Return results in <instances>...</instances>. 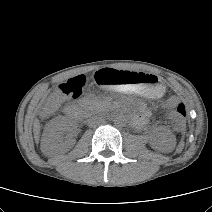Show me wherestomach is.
Instances as JSON below:
<instances>
[{
    "mask_svg": "<svg viewBox=\"0 0 212 212\" xmlns=\"http://www.w3.org/2000/svg\"><path fill=\"white\" fill-rule=\"evenodd\" d=\"M94 80L99 85H106L115 90L136 93L149 98H160L165 91L164 85L156 76L142 72L116 70L111 67L97 71Z\"/></svg>",
    "mask_w": 212,
    "mask_h": 212,
    "instance_id": "obj_1",
    "label": "stomach"
}]
</instances>
